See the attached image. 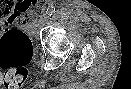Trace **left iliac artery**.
Masks as SVG:
<instances>
[{"mask_svg": "<svg viewBox=\"0 0 131 89\" xmlns=\"http://www.w3.org/2000/svg\"><path fill=\"white\" fill-rule=\"evenodd\" d=\"M48 16H51L55 13V7L53 6H50L48 9H47V12Z\"/></svg>", "mask_w": 131, "mask_h": 89, "instance_id": "44dca946", "label": "left iliac artery"}]
</instances>
